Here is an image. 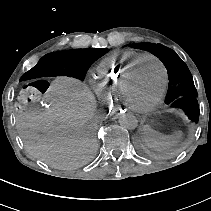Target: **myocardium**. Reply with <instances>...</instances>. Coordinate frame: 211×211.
Listing matches in <instances>:
<instances>
[{"label":"myocardium","mask_w":211,"mask_h":211,"mask_svg":"<svg viewBox=\"0 0 211 211\" xmlns=\"http://www.w3.org/2000/svg\"><path fill=\"white\" fill-rule=\"evenodd\" d=\"M145 60H154L160 66L161 71H162V88H161L160 94L157 97V99L154 100L150 105H148V106H138V105H135L134 103H132L130 101V99L128 97V93H129V90H130V83H131L133 77L135 76L138 67ZM166 83H167V70H166L163 62L158 57H156L154 55H145L141 59V61L137 64V66L134 67L131 71H129L126 74V76H125V78L122 82L121 89H120V96H119L120 101L130 111H133V112H136V113H139V114H150L153 111H155L158 108V106L160 105V103L163 101V98H164V95H165Z\"/></svg>","instance_id":"1"}]
</instances>
